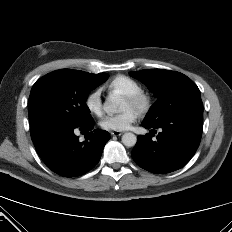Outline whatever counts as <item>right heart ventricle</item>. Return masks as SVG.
Here are the masks:
<instances>
[{"label":"right heart ventricle","instance_id":"1","mask_svg":"<svg viewBox=\"0 0 232 232\" xmlns=\"http://www.w3.org/2000/svg\"><path fill=\"white\" fill-rule=\"evenodd\" d=\"M110 93L118 92L124 96L142 91L141 84L126 75H117L112 78L106 85Z\"/></svg>","mask_w":232,"mask_h":232}]
</instances>
